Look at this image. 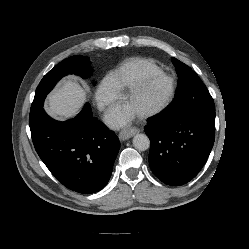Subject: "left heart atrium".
<instances>
[{
  "label": "left heart atrium",
  "mask_w": 249,
  "mask_h": 249,
  "mask_svg": "<svg viewBox=\"0 0 249 249\" xmlns=\"http://www.w3.org/2000/svg\"><path fill=\"white\" fill-rule=\"evenodd\" d=\"M134 113L128 107H117L108 115V120L113 126H121L132 119Z\"/></svg>",
  "instance_id": "1"
}]
</instances>
